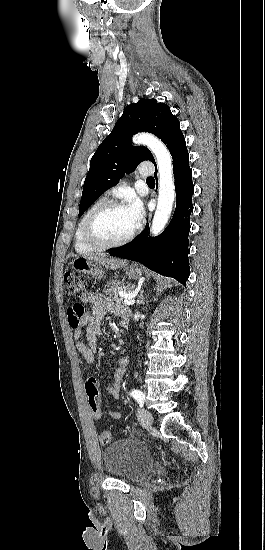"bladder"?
Wrapping results in <instances>:
<instances>
[{"label":"bladder","instance_id":"obj_1","mask_svg":"<svg viewBox=\"0 0 265 550\" xmlns=\"http://www.w3.org/2000/svg\"><path fill=\"white\" fill-rule=\"evenodd\" d=\"M102 462L108 474L130 482L145 479L153 469L152 453L132 440H118L102 452Z\"/></svg>","mask_w":265,"mask_h":550}]
</instances>
